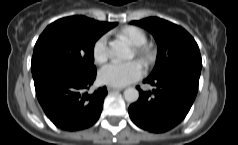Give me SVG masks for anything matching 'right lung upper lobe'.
<instances>
[{"label": "right lung upper lobe", "mask_w": 238, "mask_h": 145, "mask_svg": "<svg viewBox=\"0 0 238 145\" xmlns=\"http://www.w3.org/2000/svg\"><path fill=\"white\" fill-rule=\"evenodd\" d=\"M98 23H99L103 28H105L107 31L117 25L116 22H115V23H108V22H99V21H98Z\"/></svg>", "instance_id": "cb5924a9"}]
</instances>
